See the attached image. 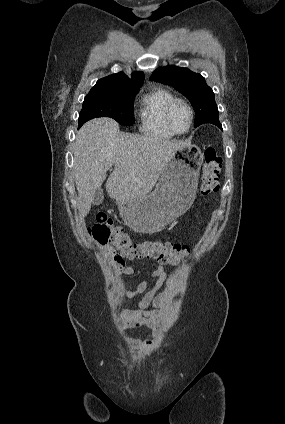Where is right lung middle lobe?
Wrapping results in <instances>:
<instances>
[{
    "mask_svg": "<svg viewBox=\"0 0 285 424\" xmlns=\"http://www.w3.org/2000/svg\"><path fill=\"white\" fill-rule=\"evenodd\" d=\"M140 87L90 90L79 114V127L96 117H110L124 126L134 124L133 102Z\"/></svg>",
    "mask_w": 285,
    "mask_h": 424,
    "instance_id": "obj_1",
    "label": "right lung middle lobe"
}]
</instances>
